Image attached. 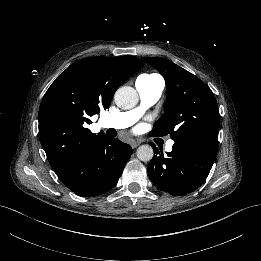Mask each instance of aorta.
Segmentation results:
<instances>
[{"label":"aorta","instance_id":"obj_1","mask_svg":"<svg viewBox=\"0 0 261 261\" xmlns=\"http://www.w3.org/2000/svg\"><path fill=\"white\" fill-rule=\"evenodd\" d=\"M115 104L124 110L134 108L139 102V95L135 88L124 86L119 88L114 95ZM137 158L142 162H149L153 158V148L142 145L137 149Z\"/></svg>","mask_w":261,"mask_h":261}]
</instances>
